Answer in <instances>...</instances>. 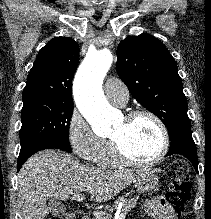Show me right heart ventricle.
<instances>
[{"mask_svg": "<svg viewBox=\"0 0 211 219\" xmlns=\"http://www.w3.org/2000/svg\"><path fill=\"white\" fill-rule=\"evenodd\" d=\"M96 162L103 167H117L121 164L114 154L111 142L106 143Z\"/></svg>", "mask_w": 211, "mask_h": 219, "instance_id": "obj_1", "label": "right heart ventricle"}]
</instances>
